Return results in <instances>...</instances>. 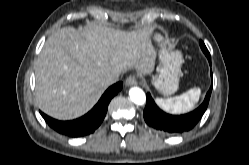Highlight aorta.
I'll use <instances>...</instances> for the list:
<instances>
[{
    "instance_id": "aorta-1",
    "label": "aorta",
    "mask_w": 249,
    "mask_h": 165,
    "mask_svg": "<svg viewBox=\"0 0 249 165\" xmlns=\"http://www.w3.org/2000/svg\"><path fill=\"white\" fill-rule=\"evenodd\" d=\"M129 97L131 101L137 105H143L146 102V95L139 87H132L129 90Z\"/></svg>"
}]
</instances>
